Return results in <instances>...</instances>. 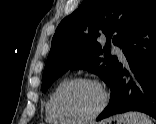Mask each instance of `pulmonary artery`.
Wrapping results in <instances>:
<instances>
[{
    "label": "pulmonary artery",
    "instance_id": "1",
    "mask_svg": "<svg viewBox=\"0 0 156 124\" xmlns=\"http://www.w3.org/2000/svg\"><path fill=\"white\" fill-rule=\"evenodd\" d=\"M112 51H113L114 54H116V55L118 56V58H119L121 61L126 62V58H125V56H124V53H123L121 47H119V46H117V45H114V46L112 47Z\"/></svg>",
    "mask_w": 156,
    "mask_h": 124
}]
</instances>
